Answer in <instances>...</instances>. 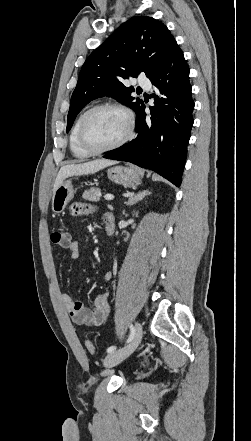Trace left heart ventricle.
I'll return each instance as SVG.
<instances>
[{
  "label": "left heart ventricle",
  "instance_id": "1",
  "mask_svg": "<svg viewBox=\"0 0 251 441\" xmlns=\"http://www.w3.org/2000/svg\"><path fill=\"white\" fill-rule=\"evenodd\" d=\"M126 132L125 116L114 109H101L92 113L85 124L84 137L93 148L114 144Z\"/></svg>",
  "mask_w": 251,
  "mask_h": 441
}]
</instances>
